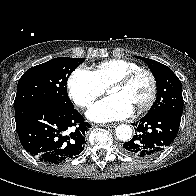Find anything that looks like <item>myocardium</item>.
Masks as SVG:
<instances>
[{
	"instance_id": "f54148a6",
	"label": "myocardium",
	"mask_w": 196,
	"mask_h": 196,
	"mask_svg": "<svg viewBox=\"0 0 196 196\" xmlns=\"http://www.w3.org/2000/svg\"><path fill=\"white\" fill-rule=\"evenodd\" d=\"M141 75L148 76L151 83V91L147 100L142 105H140L135 109V111L138 113H142L150 109L157 97L158 82L155 74L151 70L145 68H139L137 70H134L130 73L121 76L120 78L116 79L108 86V90L112 87H125Z\"/></svg>"
}]
</instances>
